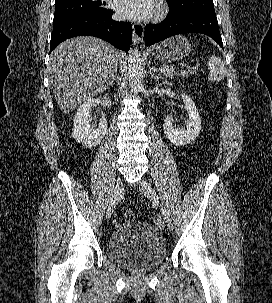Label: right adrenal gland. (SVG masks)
Here are the masks:
<instances>
[{"instance_id":"obj_1","label":"right adrenal gland","mask_w":272,"mask_h":303,"mask_svg":"<svg viewBox=\"0 0 272 303\" xmlns=\"http://www.w3.org/2000/svg\"><path fill=\"white\" fill-rule=\"evenodd\" d=\"M117 78H118V74H117V72H116V73L113 75L111 82L108 84V87H109V86H112V85L115 83V81L117 80Z\"/></svg>"}]
</instances>
